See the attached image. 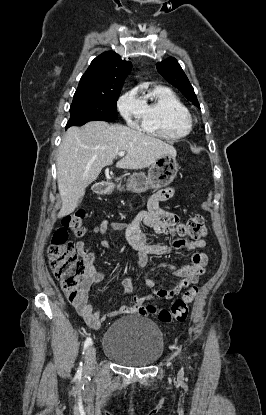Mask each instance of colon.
Listing matches in <instances>:
<instances>
[{"label": "colon", "mask_w": 266, "mask_h": 415, "mask_svg": "<svg viewBox=\"0 0 266 415\" xmlns=\"http://www.w3.org/2000/svg\"><path fill=\"white\" fill-rule=\"evenodd\" d=\"M85 213L78 211L62 220V226L53 234L48 247L49 265L60 281L62 290L67 299L72 302L79 296L80 279L86 272V265L79 259L74 244L68 239V229L75 235L85 234ZM172 232L181 237L198 240L206 235L207 229L204 219L200 215L189 218L186 222L176 224ZM197 294V289H189L181 298L175 300L170 309L160 308L152 304L143 306V313L157 317L160 321L183 322L188 316L189 306Z\"/></svg>", "instance_id": "obj_1"}]
</instances>
